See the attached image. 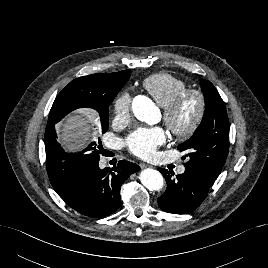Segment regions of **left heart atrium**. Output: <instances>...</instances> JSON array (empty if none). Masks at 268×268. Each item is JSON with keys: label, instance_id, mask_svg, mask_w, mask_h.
Masks as SVG:
<instances>
[{"label": "left heart atrium", "instance_id": "1", "mask_svg": "<svg viewBox=\"0 0 268 268\" xmlns=\"http://www.w3.org/2000/svg\"><path fill=\"white\" fill-rule=\"evenodd\" d=\"M165 142L166 134L160 127L138 128L126 139V145L131 153L143 159L153 158L157 148Z\"/></svg>", "mask_w": 268, "mask_h": 268}]
</instances>
